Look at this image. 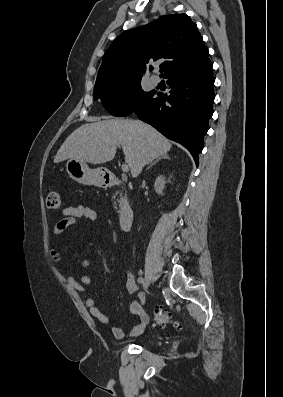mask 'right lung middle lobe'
Masks as SVG:
<instances>
[{"mask_svg":"<svg viewBox=\"0 0 283 397\" xmlns=\"http://www.w3.org/2000/svg\"><path fill=\"white\" fill-rule=\"evenodd\" d=\"M155 91L144 92L141 77L97 81L94 87V99H100L105 109L116 117L127 116L140 105L149 101Z\"/></svg>","mask_w":283,"mask_h":397,"instance_id":"obj_1","label":"right lung middle lobe"}]
</instances>
